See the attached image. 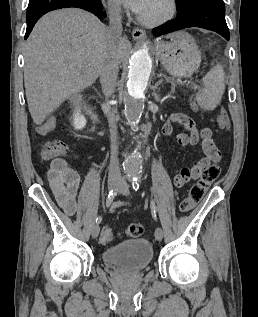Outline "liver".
<instances>
[{"label": "liver", "mask_w": 258, "mask_h": 317, "mask_svg": "<svg viewBox=\"0 0 258 317\" xmlns=\"http://www.w3.org/2000/svg\"><path fill=\"white\" fill-rule=\"evenodd\" d=\"M106 34L105 24L81 8L52 10L36 22L24 46V84L35 124H42L63 100L95 82ZM129 46L127 38H119V60L125 58Z\"/></svg>", "instance_id": "6515ba94"}]
</instances>
